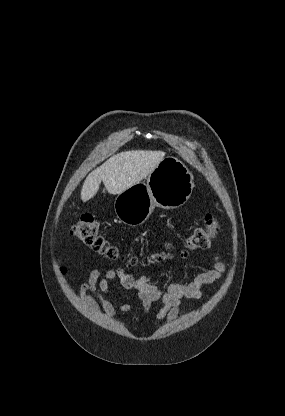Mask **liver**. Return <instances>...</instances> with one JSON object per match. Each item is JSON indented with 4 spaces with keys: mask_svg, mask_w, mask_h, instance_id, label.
Masks as SVG:
<instances>
[{
    "mask_svg": "<svg viewBox=\"0 0 285 416\" xmlns=\"http://www.w3.org/2000/svg\"><path fill=\"white\" fill-rule=\"evenodd\" d=\"M164 156L165 152H145V150H131L112 156L87 176L82 186L81 200L87 202L94 198L101 182L109 194H122L147 178L164 160Z\"/></svg>",
    "mask_w": 285,
    "mask_h": 416,
    "instance_id": "1",
    "label": "liver"
}]
</instances>
